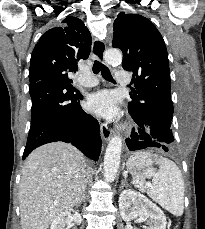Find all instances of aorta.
I'll return each mask as SVG.
<instances>
[{
  "mask_svg": "<svg viewBox=\"0 0 205 229\" xmlns=\"http://www.w3.org/2000/svg\"><path fill=\"white\" fill-rule=\"evenodd\" d=\"M105 61L110 65H119L122 62V53L118 49H108L104 55ZM122 150V139L114 135L106 148L104 156V177L107 182H112L117 176Z\"/></svg>",
  "mask_w": 205,
  "mask_h": 229,
  "instance_id": "762f6f07",
  "label": "aorta"
}]
</instances>
